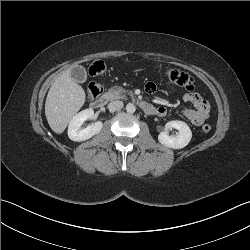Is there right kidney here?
Listing matches in <instances>:
<instances>
[{
  "mask_svg": "<svg viewBox=\"0 0 250 250\" xmlns=\"http://www.w3.org/2000/svg\"><path fill=\"white\" fill-rule=\"evenodd\" d=\"M94 116L93 109H85L77 113L70 121L68 126V137L77 142L85 141L98 134L103 127L101 121L89 125L85 129H82L81 126L84 121L91 119Z\"/></svg>",
  "mask_w": 250,
  "mask_h": 250,
  "instance_id": "obj_1",
  "label": "right kidney"
}]
</instances>
